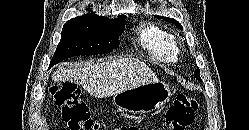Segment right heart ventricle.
Returning a JSON list of instances; mask_svg holds the SVG:
<instances>
[{
  "label": "right heart ventricle",
  "instance_id": "right-heart-ventricle-1",
  "mask_svg": "<svg viewBox=\"0 0 249 130\" xmlns=\"http://www.w3.org/2000/svg\"><path fill=\"white\" fill-rule=\"evenodd\" d=\"M138 41L149 55L158 61L174 62L178 56V46L174 35L162 27L142 24L138 29Z\"/></svg>",
  "mask_w": 249,
  "mask_h": 130
}]
</instances>
